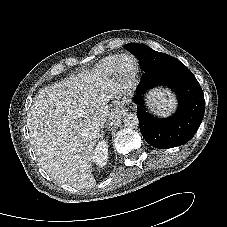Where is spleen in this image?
I'll return each instance as SVG.
<instances>
[{"instance_id": "obj_1", "label": "spleen", "mask_w": 227, "mask_h": 227, "mask_svg": "<svg viewBox=\"0 0 227 227\" xmlns=\"http://www.w3.org/2000/svg\"><path fill=\"white\" fill-rule=\"evenodd\" d=\"M152 105H153V107L156 108L157 112H161V113L165 114V110H166V112H168L169 110L172 109L173 102H172V100L168 101L165 98V94L159 92L157 94V96H155V98L153 99V104Z\"/></svg>"}]
</instances>
